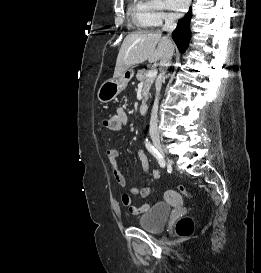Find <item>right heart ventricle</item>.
Returning <instances> with one entry per match:
<instances>
[{
    "label": "right heart ventricle",
    "instance_id": "1",
    "mask_svg": "<svg viewBox=\"0 0 261 273\" xmlns=\"http://www.w3.org/2000/svg\"><path fill=\"white\" fill-rule=\"evenodd\" d=\"M129 14L133 22L140 28H148L145 17L144 0H131L129 4Z\"/></svg>",
    "mask_w": 261,
    "mask_h": 273
}]
</instances>
